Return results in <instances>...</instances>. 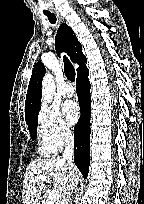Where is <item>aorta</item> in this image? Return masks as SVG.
Listing matches in <instances>:
<instances>
[{
  "label": "aorta",
  "instance_id": "obj_1",
  "mask_svg": "<svg viewBox=\"0 0 144 204\" xmlns=\"http://www.w3.org/2000/svg\"><path fill=\"white\" fill-rule=\"evenodd\" d=\"M55 94V83L54 77L50 73H46L42 81V100L44 102L50 103Z\"/></svg>",
  "mask_w": 144,
  "mask_h": 204
}]
</instances>
